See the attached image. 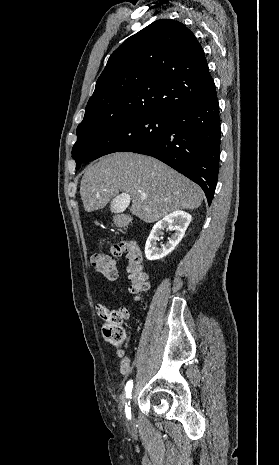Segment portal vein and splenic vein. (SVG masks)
Returning a JSON list of instances; mask_svg holds the SVG:
<instances>
[{"label": "portal vein and splenic vein", "instance_id": "18ae733b", "mask_svg": "<svg viewBox=\"0 0 279 465\" xmlns=\"http://www.w3.org/2000/svg\"><path fill=\"white\" fill-rule=\"evenodd\" d=\"M122 197H123V198H126V200H128V202H129L130 197H129L128 194H122ZM142 198H143V199H146V194H142Z\"/></svg>", "mask_w": 279, "mask_h": 465}]
</instances>
